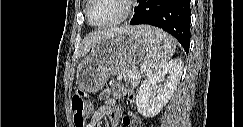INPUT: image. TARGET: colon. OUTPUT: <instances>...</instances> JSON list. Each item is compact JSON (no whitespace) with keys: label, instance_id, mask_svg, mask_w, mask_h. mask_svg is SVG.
Here are the masks:
<instances>
[{"label":"colon","instance_id":"colon-1","mask_svg":"<svg viewBox=\"0 0 243 127\" xmlns=\"http://www.w3.org/2000/svg\"><path fill=\"white\" fill-rule=\"evenodd\" d=\"M110 91L117 98H123L127 104H131L134 99L133 89L129 86L123 85L116 80H111L109 83ZM71 108L73 113V122L76 127H84L87 116L90 112V107L86 100V93L80 89L76 95L71 99ZM136 117L133 113L128 112L122 119L124 126H134L136 124Z\"/></svg>","mask_w":243,"mask_h":127}]
</instances>
